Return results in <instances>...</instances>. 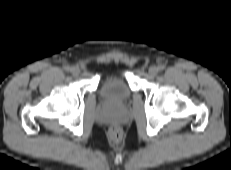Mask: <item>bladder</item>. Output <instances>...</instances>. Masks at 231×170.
<instances>
[{
	"label": "bladder",
	"instance_id": "obj_1",
	"mask_svg": "<svg viewBox=\"0 0 231 170\" xmlns=\"http://www.w3.org/2000/svg\"><path fill=\"white\" fill-rule=\"evenodd\" d=\"M99 95L106 103L121 106L129 101L131 90L122 76L109 75L102 79Z\"/></svg>",
	"mask_w": 231,
	"mask_h": 170
}]
</instances>
